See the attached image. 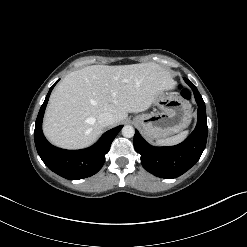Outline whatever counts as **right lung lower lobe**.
<instances>
[{"mask_svg": "<svg viewBox=\"0 0 247 247\" xmlns=\"http://www.w3.org/2000/svg\"><path fill=\"white\" fill-rule=\"evenodd\" d=\"M55 84L50 88L36 119L34 140L37 152L50 170L66 179L75 180L92 176L103 166L105 154L109 151L112 141L123 126L107 131L96 144L86 149L64 150L52 146L43 135L42 119Z\"/></svg>", "mask_w": 247, "mask_h": 247, "instance_id": "right-lung-lower-lobe-1", "label": "right lung lower lobe"}]
</instances>
